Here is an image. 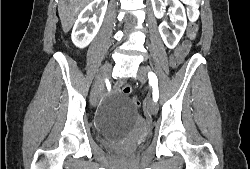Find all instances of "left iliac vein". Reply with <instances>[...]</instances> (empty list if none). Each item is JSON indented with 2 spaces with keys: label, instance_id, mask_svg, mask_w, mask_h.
<instances>
[{
  "label": "left iliac vein",
  "instance_id": "left-iliac-vein-1",
  "mask_svg": "<svg viewBox=\"0 0 250 169\" xmlns=\"http://www.w3.org/2000/svg\"><path fill=\"white\" fill-rule=\"evenodd\" d=\"M149 72V67L147 66H141L139 68V73H138V76H137V79L141 82V83H145L146 80H147V74ZM146 106L148 108V110L154 114L157 112V103L154 101V100H151L149 99L147 102H146Z\"/></svg>",
  "mask_w": 250,
  "mask_h": 169
}]
</instances>
